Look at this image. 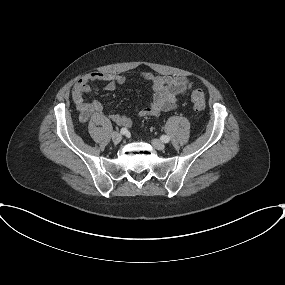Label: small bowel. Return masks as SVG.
Returning a JSON list of instances; mask_svg holds the SVG:
<instances>
[{
    "mask_svg": "<svg viewBox=\"0 0 285 285\" xmlns=\"http://www.w3.org/2000/svg\"><path fill=\"white\" fill-rule=\"evenodd\" d=\"M138 77L152 90V101L147 106L137 109L138 118L156 117L162 112L175 109L179 98L187 93L190 86L188 78L184 76L142 72ZM127 79L126 75L114 72H92L80 78L72 89V97L79 111L80 120L87 121L94 113H100L103 110L102 103L95 98H92L90 102L87 101V97H92L90 82L103 81L106 83V90L113 91L118 85L126 83ZM109 118L125 128L133 124L131 118L121 113H112Z\"/></svg>",
    "mask_w": 285,
    "mask_h": 285,
    "instance_id": "c3829d8e",
    "label": "small bowel"
}]
</instances>
